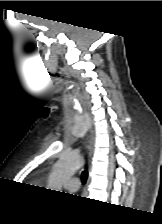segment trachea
I'll use <instances>...</instances> for the list:
<instances>
[{
    "instance_id": "trachea-1",
    "label": "trachea",
    "mask_w": 162,
    "mask_h": 224,
    "mask_svg": "<svg viewBox=\"0 0 162 224\" xmlns=\"http://www.w3.org/2000/svg\"><path fill=\"white\" fill-rule=\"evenodd\" d=\"M87 177H88V171L87 170H84L82 172V175H81V180H82V183L85 184L86 181H87Z\"/></svg>"
}]
</instances>
